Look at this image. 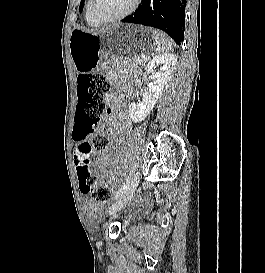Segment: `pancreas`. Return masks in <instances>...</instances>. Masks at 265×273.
<instances>
[{"label": "pancreas", "instance_id": "cf45deb5", "mask_svg": "<svg viewBox=\"0 0 265 273\" xmlns=\"http://www.w3.org/2000/svg\"><path fill=\"white\" fill-rule=\"evenodd\" d=\"M144 60L142 58H132L129 65H142Z\"/></svg>", "mask_w": 265, "mask_h": 273}]
</instances>
